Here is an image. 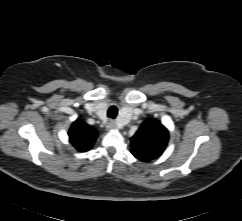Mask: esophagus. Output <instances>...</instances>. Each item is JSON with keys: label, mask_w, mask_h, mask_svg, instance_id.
<instances>
[{"label": "esophagus", "mask_w": 242, "mask_h": 221, "mask_svg": "<svg viewBox=\"0 0 242 221\" xmlns=\"http://www.w3.org/2000/svg\"><path fill=\"white\" fill-rule=\"evenodd\" d=\"M107 128L108 129H115L116 128V124L114 121H110L107 123Z\"/></svg>", "instance_id": "esophagus-1"}]
</instances>
